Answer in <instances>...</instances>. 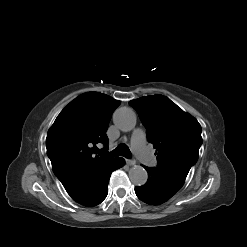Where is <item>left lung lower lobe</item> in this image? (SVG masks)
Returning <instances> with one entry per match:
<instances>
[{"label": "left lung lower lobe", "instance_id": "obj_1", "mask_svg": "<svg viewBox=\"0 0 247 247\" xmlns=\"http://www.w3.org/2000/svg\"><path fill=\"white\" fill-rule=\"evenodd\" d=\"M144 167L148 172V181L145 185L135 188L137 197L143 202L151 205L162 204L180 189L157 168Z\"/></svg>", "mask_w": 247, "mask_h": 247}]
</instances>
